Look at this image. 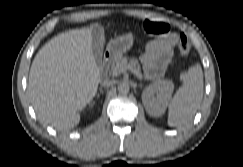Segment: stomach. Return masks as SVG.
Masks as SVG:
<instances>
[{
  "mask_svg": "<svg viewBox=\"0 0 243 167\" xmlns=\"http://www.w3.org/2000/svg\"><path fill=\"white\" fill-rule=\"evenodd\" d=\"M134 37L131 33L112 39L107 45L110 57H117L126 53L133 45Z\"/></svg>",
  "mask_w": 243,
  "mask_h": 167,
  "instance_id": "0dacf381",
  "label": "stomach"
}]
</instances>
